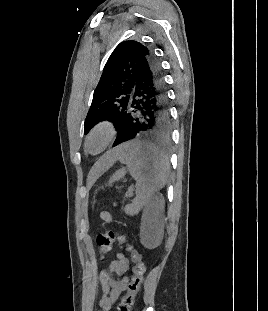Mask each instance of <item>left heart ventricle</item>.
<instances>
[{
  "label": "left heart ventricle",
  "mask_w": 268,
  "mask_h": 311,
  "mask_svg": "<svg viewBox=\"0 0 268 311\" xmlns=\"http://www.w3.org/2000/svg\"><path fill=\"white\" fill-rule=\"evenodd\" d=\"M100 139L99 138H95L94 140H92L90 147L91 149H95L97 148V146L99 145Z\"/></svg>",
  "instance_id": "b2bd125f"
}]
</instances>
